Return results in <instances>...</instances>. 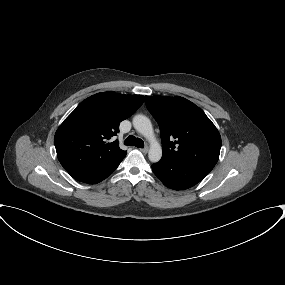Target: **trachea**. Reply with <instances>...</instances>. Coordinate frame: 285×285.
Wrapping results in <instances>:
<instances>
[{
  "label": "trachea",
  "mask_w": 285,
  "mask_h": 285,
  "mask_svg": "<svg viewBox=\"0 0 285 285\" xmlns=\"http://www.w3.org/2000/svg\"><path fill=\"white\" fill-rule=\"evenodd\" d=\"M124 144L128 145V146H135V147H138V148H143L144 147L143 140L140 139V138H136L135 136L127 137L125 139V141H124Z\"/></svg>",
  "instance_id": "trachea-1"
}]
</instances>
